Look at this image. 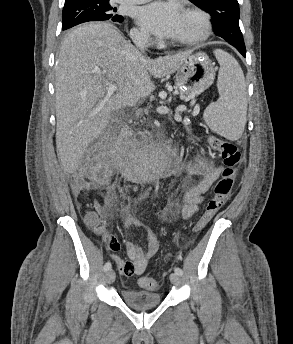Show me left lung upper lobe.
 <instances>
[{"instance_id": "left-lung-upper-lobe-1", "label": "left lung upper lobe", "mask_w": 293, "mask_h": 344, "mask_svg": "<svg viewBox=\"0 0 293 344\" xmlns=\"http://www.w3.org/2000/svg\"><path fill=\"white\" fill-rule=\"evenodd\" d=\"M212 16L214 32L231 45H244L237 0H189Z\"/></svg>"}]
</instances>
